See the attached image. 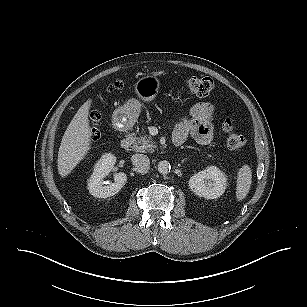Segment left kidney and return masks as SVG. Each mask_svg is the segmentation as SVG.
Instances as JSON below:
<instances>
[{
  "label": "left kidney",
  "mask_w": 307,
  "mask_h": 307,
  "mask_svg": "<svg viewBox=\"0 0 307 307\" xmlns=\"http://www.w3.org/2000/svg\"><path fill=\"white\" fill-rule=\"evenodd\" d=\"M226 186V175L215 166H208L189 179L190 189L205 199H217L225 192Z\"/></svg>",
  "instance_id": "1"
}]
</instances>
